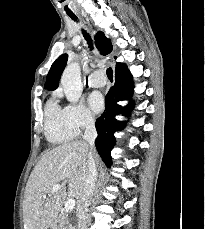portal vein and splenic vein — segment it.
Masks as SVG:
<instances>
[{"label":"portal vein and splenic vein","mask_w":205,"mask_h":229,"mask_svg":"<svg viewBox=\"0 0 205 229\" xmlns=\"http://www.w3.org/2000/svg\"><path fill=\"white\" fill-rule=\"evenodd\" d=\"M62 188H64L63 185H60V184L53 185V187L51 188V193H55ZM75 204H76L75 199L73 198L68 199L65 202V211L71 212L75 208Z\"/></svg>","instance_id":"18ae733b"}]
</instances>
